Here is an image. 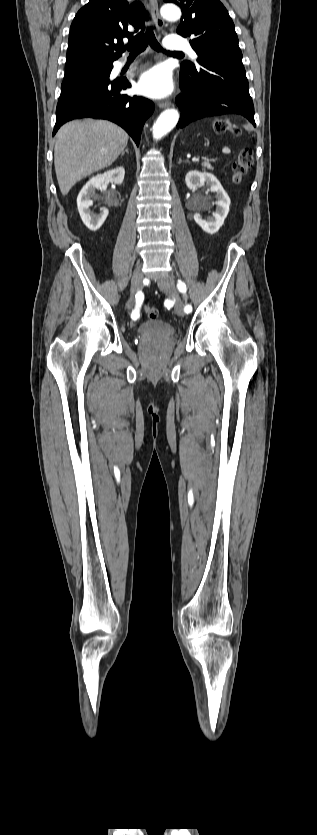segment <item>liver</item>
Here are the masks:
<instances>
[{
	"instance_id": "6515ba94",
	"label": "liver",
	"mask_w": 317,
	"mask_h": 835,
	"mask_svg": "<svg viewBox=\"0 0 317 835\" xmlns=\"http://www.w3.org/2000/svg\"><path fill=\"white\" fill-rule=\"evenodd\" d=\"M128 134L106 120L72 121L56 134L54 165L62 195L76 182L111 165L127 146Z\"/></svg>"
}]
</instances>
